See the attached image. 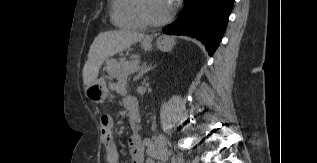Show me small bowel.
<instances>
[{
	"mask_svg": "<svg viewBox=\"0 0 317 163\" xmlns=\"http://www.w3.org/2000/svg\"><path fill=\"white\" fill-rule=\"evenodd\" d=\"M117 91L125 94V89L122 86H118ZM123 102L129 115L130 113H139L138 104L134 98L125 96ZM100 130L101 145L106 163H119V152L113 138L112 118L107 116L101 117ZM128 146L132 156V163H156L151 158L145 159V154L154 158L158 157V150L150 139L142 140L139 136H131L128 140Z\"/></svg>",
	"mask_w": 317,
	"mask_h": 163,
	"instance_id": "c3829d8e",
	"label": "small bowel"
}]
</instances>
